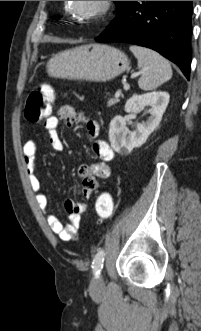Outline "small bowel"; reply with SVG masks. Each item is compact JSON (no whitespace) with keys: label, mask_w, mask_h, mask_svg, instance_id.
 <instances>
[{"label":"small bowel","mask_w":201,"mask_h":331,"mask_svg":"<svg viewBox=\"0 0 201 331\" xmlns=\"http://www.w3.org/2000/svg\"><path fill=\"white\" fill-rule=\"evenodd\" d=\"M63 122L70 127L81 123L85 126L87 135L94 140L92 149L98 163H85L79 166L78 176L82 181L81 192L85 198H90L93 191L97 189V179H107L111 176L109 162L114 158V152L109 143L97 139L100 132L99 124L96 120L89 117L86 113L75 110L72 106L64 105L58 109L57 115H50L44 121V128L48 134L50 145L53 149L61 151L64 144L59 136L58 127ZM38 142L27 141L23 146V157L28 175L29 183L35 193L38 206L44 212L48 225L53 233L57 234L64 241L76 240L79 234L81 216L86 211L87 205L72 199L65 201V210L68 213L69 223L64 226L60 220L54 216L48 208V200L42 191L41 182L35 173V158L40 149Z\"/></svg>","instance_id":"c3829d8e"}]
</instances>
